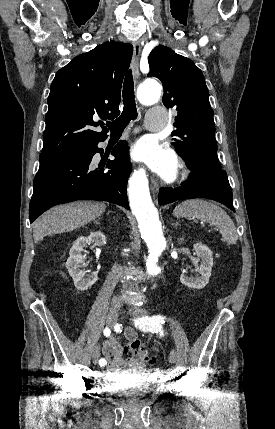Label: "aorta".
Listing matches in <instances>:
<instances>
[{
	"label": "aorta",
	"instance_id": "aorta-1",
	"mask_svg": "<svg viewBox=\"0 0 275 429\" xmlns=\"http://www.w3.org/2000/svg\"><path fill=\"white\" fill-rule=\"evenodd\" d=\"M161 95V86L154 80L144 82L138 88V100L143 105L156 103ZM128 196L130 207L134 213L142 239L149 249L147 273L157 275L160 268L158 259L166 248V240L162 232L157 209L152 203L149 183L144 171H135L129 179Z\"/></svg>",
	"mask_w": 275,
	"mask_h": 429
}]
</instances>
